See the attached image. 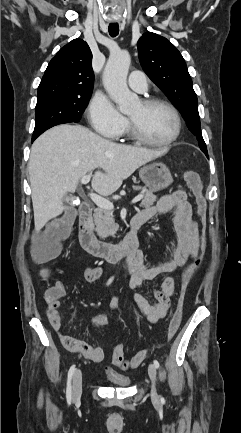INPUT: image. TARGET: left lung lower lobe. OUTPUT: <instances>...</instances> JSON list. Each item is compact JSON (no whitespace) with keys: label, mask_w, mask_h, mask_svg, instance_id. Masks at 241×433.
<instances>
[{"label":"left lung lower lobe","mask_w":241,"mask_h":433,"mask_svg":"<svg viewBox=\"0 0 241 433\" xmlns=\"http://www.w3.org/2000/svg\"><path fill=\"white\" fill-rule=\"evenodd\" d=\"M205 153V155L208 157V152H204Z\"/></svg>","instance_id":"0a47b994"}]
</instances>
